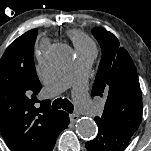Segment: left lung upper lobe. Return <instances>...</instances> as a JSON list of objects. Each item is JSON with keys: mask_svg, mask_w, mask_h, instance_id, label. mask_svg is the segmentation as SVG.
Here are the masks:
<instances>
[{"mask_svg": "<svg viewBox=\"0 0 151 151\" xmlns=\"http://www.w3.org/2000/svg\"><path fill=\"white\" fill-rule=\"evenodd\" d=\"M92 33L102 50L92 94L106 101L102 117H96L95 121L131 137L142 120V96L136 68L112 33L101 27L93 28Z\"/></svg>", "mask_w": 151, "mask_h": 151, "instance_id": "1", "label": "left lung upper lobe"}]
</instances>
